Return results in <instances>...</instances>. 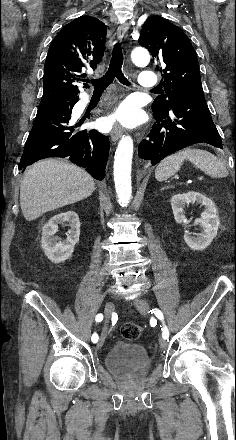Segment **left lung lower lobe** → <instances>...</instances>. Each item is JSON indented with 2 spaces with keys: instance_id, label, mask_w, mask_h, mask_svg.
Here are the masks:
<instances>
[{
  "instance_id": "obj_1",
  "label": "left lung lower lobe",
  "mask_w": 236,
  "mask_h": 440,
  "mask_svg": "<svg viewBox=\"0 0 236 440\" xmlns=\"http://www.w3.org/2000/svg\"><path fill=\"white\" fill-rule=\"evenodd\" d=\"M156 123L139 144V157L157 164L166 156L187 146L207 143L222 148L221 137L213 123L203 92L180 96L170 110L154 114Z\"/></svg>"
}]
</instances>
